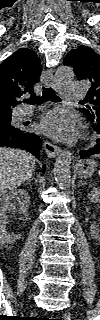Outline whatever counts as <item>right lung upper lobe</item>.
<instances>
[{
	"mask_svg": "<svg viewBox=\"0 0 100 320\" xmlns=\"http://www.w3.org/2000/svg\"><path fill=\"white\" fill-rule=\"evenodd\" d=\"M40 59L30 49L17 50L0 65V120L11 118L24 94H33L41 75Z\"/></svg>",
	"mask_w": 100,
	"mask_h": 320,
	"instance_id": "right-lung-upper-lobe-1",
	"label": "right lung upper lobe"
}]
</instances>
